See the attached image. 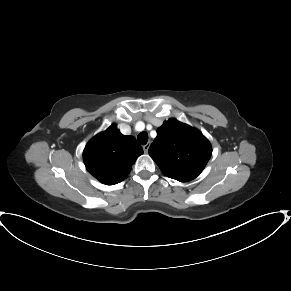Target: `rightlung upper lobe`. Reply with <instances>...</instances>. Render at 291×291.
<instances>
[{"mask_svg": "<svg viewBox=\"0 0 291 291\" xmlns=\"http://www.w3.org/2000/svg\"><path fill=\"white\" fill-rule=\"evenodd\" d=\"M142 153V147L133 136H125L116 125H111L88 142L83 159L95 178L103 184L113 185L128 176L132 164Z\"/></svg>", "mask_w": 291, "mask_h": 291, "instance_id": "cb5924a9", "label": "right lung upper lobe"}]
</instances>
